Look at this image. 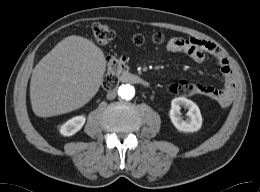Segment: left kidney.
I'll use <instances>...</instances> for the list:
<instances>
[{"mask_svg":"<svg viewBox=\"0 0 260 192\" xmlns=\"http://www.w3.org/2000/svg\"><path fill=\"white\" fill-rule=\"evenodd\" d=\"M181 107L188 109L186 120L181 116ZM169 116L175 128L182 132H196L202 125L200 109L193 101L184 97H177L171 101Z\"/></svg>","mask_w":260,"mask_h":192,"instance_id":"left-kidney-1","label":"left kidney"}]
</instances>
